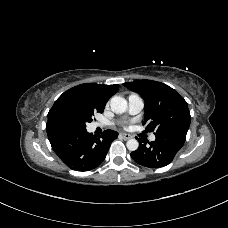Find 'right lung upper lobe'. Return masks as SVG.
Listing matches in <instances>:
<instances>
[{
  "mask_svg": "<svg viewBox=\"0 0 228 228\" xmlns=\"http://www.w3.org/2000/svg\"><path fill=\"white\" fill-rule=\"evenodd\" d=\"M118 88V84L98 85L94 83H85L67 90L56 100L55 103L62 100L75 99L95 110L104 111L107 101L118 91ZM53 126L54 125L48 120L46 129Z\"/></svg>",
  "mask_w": 228,
  "mask_h": 228,
  "instance_id": "obj_1",
  "label": "right lung upper lobe"
}]
</instances>
